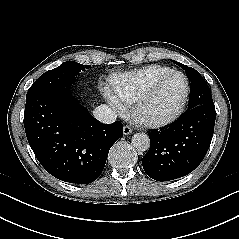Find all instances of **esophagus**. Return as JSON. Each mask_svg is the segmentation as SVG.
Here are the masks:
<instances>
[{
  "label": "esophagus",
  "mask_w": 239,
  "mask_h": 239,
  "mask_svg": "<svg viewBox=\"0 0 239 239\" xmlns=\"http://www.w3.org/2000/svg\"><path fill=\"white\" fill-rule=\"evenodd\" d=\"M131 133H132V129H131L130 126L126 125V126L123 127V134L124 135H129Z\"/></svg>",
  "instance_id": "1"
}]
</instances>
